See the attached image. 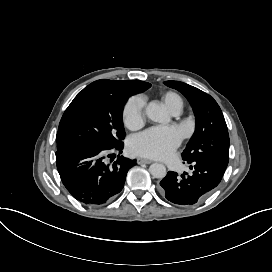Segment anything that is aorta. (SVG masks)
Wrapping results in <instances>:
<instances>
[{
    "label": "aorta",
    "mask_w": 272,
    "mask_h": 272,
    "mask_svg": "<svg viewBox=\"0 0 272 272\" xmlns=\"http://www.w3.org/2000/svg\"><path fill=\"white\" fill-rule=\"evenodd\" d=\"M145 112L147 117L154 122H163L165 119L164 111H162L160 103L157 100L150 101ZM149 172L153 177L158 179H163L167 174L166 167L160 163L151 164Z\"/></svg>",
    "instance_id": "762f6f07"
}]
</instances>
